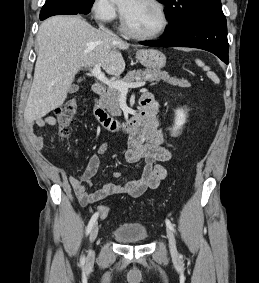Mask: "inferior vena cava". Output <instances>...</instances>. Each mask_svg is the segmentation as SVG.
I'll return each mask as SVG.
<instances>
[{"label":"inferior vena cava","mask_w":259,"mask_h":283,"mask_svg":"<svg viewBox=\"0 0 259 283\" xmlns=\"http://www.w3.org/2000/svg\"><path fill=\"white\" fill-rule=\"evenodd\" d=\"M99 26H100V29H102L106 33L110 34L111 36H115L113 33H111L109 30H107L103 25H99Z\"/></svg>","instance_id":"obj_1"}]
</instances>
